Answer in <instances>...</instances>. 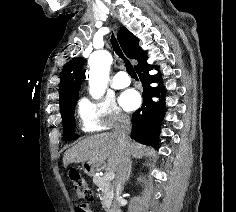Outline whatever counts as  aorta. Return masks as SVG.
Segmentation results:
<instances>
[{
    "instance_id": "obj_1",
    "label": "aorta",
    "mask_w": 236,
    "mask_h": 212,
    "mask_svg": "<svg viewBox=\"0 0 236 212\" xmlns=\"http://www.w3.org/2000/svg\"><path fill=\"white\" fill-rule=\"evenodd\" d=\"M89 90L93 98L98 99L105 93L109 80V71L112 64V56L106 50L96 51L88 60Z\"/></svg>"
}]
</instances>
